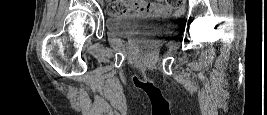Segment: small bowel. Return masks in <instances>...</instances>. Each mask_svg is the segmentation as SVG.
<instances>
[{"label": "small bowel", "instance_id": "1", "mask_svg": "<svg viewBox=\"0 0 267 115\" xmlns=\"http://www.w3.org/2000/svg\"><path fill=\"white\" fill-rule=\"evenodd\" d=\"M130 13L145 14V13H157L167 14L170 12V6L163 0L158 2H145L136 1L129 4Z\"/></svg>", "mask_w": 267, "mask_h": 115}]
</instances>
